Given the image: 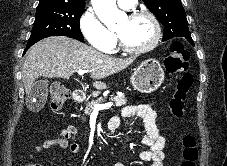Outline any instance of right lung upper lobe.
<instances>
[{
	"label": "right lung upper lobe",
	"mask_w": 227,
	"mask_h": 166,
	"mask_svg": "<svg viewBox=\"0 0 227 166\" xmlns=\"http://www.w3.org/2000/svg\"><path fill=\"white\" fill-rule=\"evenodd\" d=\"M43 6H69L84 8L85 0H40L38 7Z\"/></svg>",
	"instance_id": "right-lung-upper-lobe-1"
}]
</instances>
